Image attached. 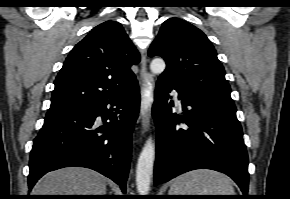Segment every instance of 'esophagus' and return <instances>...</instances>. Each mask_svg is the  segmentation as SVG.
Here are the masks:
<instances>
[{
	"label": "esophagus",
	"instance_id": "1",
	"mask_svg": "<svg viewBox=\"0 0 290 199\" xmlns=\"http://www.w3.org/2000/svg\"><path fill=\"white\" fill-rule=\"evenodd\" d=\"M140 86H141V106H140V121L142 129L147 132L149 129L151 106L154 100L155 81L147 70V60L144 56L141 62L140 71Z\"/></svg>",
	"mask_w": 290,
	"mask_h": 199
}]
</instances>
